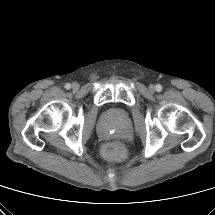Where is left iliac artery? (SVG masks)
<instances>
[{
    "mask_svg": "<svg viewBox=\"0 0 215 215\" xmlns=\"http://www.w3.org/2000/svg\"><path fill=\"white\" fill-rule=\"evenodd\" d=\"M156 90H157V91H161V90H162V86H161L160 84H157V85H156Z\"/></svg>",
    "mask_w": 215,
    "mask_h": 215,
    "instance_id": "1",
    "label": "left iliac artery"
}]
</instances>
